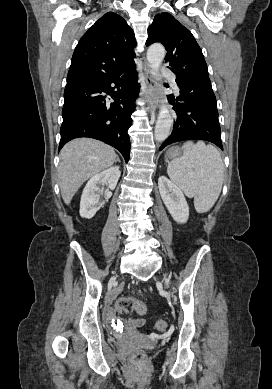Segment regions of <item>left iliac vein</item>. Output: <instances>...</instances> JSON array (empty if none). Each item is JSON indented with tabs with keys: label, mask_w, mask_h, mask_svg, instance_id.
<instances>
[{
	"label": "left iliac vein",
	"mask_w": 272,
	"mask_h": 389,
	"mask_svg": "<svg viewBox=\"0 0 272 389\" xmlns=\"http://www.w3.org/2000/svg\"><path fill=\"white\" fill-rule=\"evenodd\" d=\"M164 281H165L166 285H168V283H169L168 278H164Z\"/></svg>",
	"instance_id": "1"
}]
</instances>
